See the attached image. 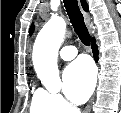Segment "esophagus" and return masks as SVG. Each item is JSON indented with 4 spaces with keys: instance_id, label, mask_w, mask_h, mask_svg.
<instances>
[{
    "instance_id": "esophagus-1",
    "label": "esophagus",
    "mask_w": 121,
    "mask_h": 113,
    "mask_svg": "<svg viewBox=\"0 0 121 113\" xmlns=\"http://www.w3.org/2000/svg\"><path fill=\"white\" fill-rule=\"evenodd\" d=\"M83 15H84L86 23L90 24V22H91L90 15L88 13H86L85 11H83ZM92 102H93V98L90 100V102L88 103L87 107L85 108V112L86 113L90 111Z\"/></svg>"
}]
</instances>
